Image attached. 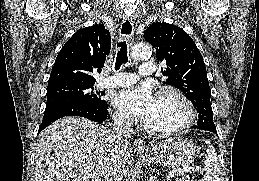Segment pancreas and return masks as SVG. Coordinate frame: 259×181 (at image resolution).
I'll return each mask as SVG.
<instances>
[{"label":"pancreas","instance_id":"pancreas-1","mask_svg":"<svg viewBox=\"0 0 259 181\" xmlns=\"http://www.w3.org/2000/svg\"><path fill=\"white\" fill-rule=\"evenodd\" d=\"M183 181H190V180H189V177H188V176L184 177V178H183Z\"/></svg>","mask_w":259,"mask_h":181}]
</instances>
